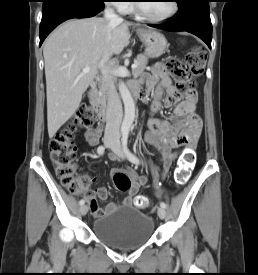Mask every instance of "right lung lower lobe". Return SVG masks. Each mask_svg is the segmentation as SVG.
<instances>
[{
    "label": "right lung lower lobe",
    "instance_id": "1",
    "mask_svg": "<svg viewBox=\"0 0 258 275\" xmlns=\"http://www.w3.org/2000/svg\"><path fill=\"white\" fill-rule=\"evenodd\" d=\"M104 8V0H43L40 46L60 23L72 18L93 17Z\"/></svg>",
    "mask_w": 258,
    "mask_h": 275
}]
</instances>
